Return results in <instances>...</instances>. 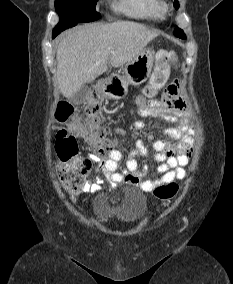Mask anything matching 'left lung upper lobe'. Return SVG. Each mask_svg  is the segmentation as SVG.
Returning a JSON list of instances; mask_svg holds the SVG:
<instances>
[{"mask_svg": "<svg viewBox=\"0 0 233 284\" xmlns=\"http://www.w3.org/2000/svg\"><path fill=\"white\" fill-rule=\"evenodd\" d=\"M174 7H175L176 9L179 8V3H178L177 0H175V2H174ZM174 35L177 36V37H179V38H182V39H185V38H186V37H185V34H184V32H183V30L180 29L179 27H176V29H175V31H174Z\"/></svg>", "mask_w": 233, "mask_h": 284, "instance_id": "left-lung-upper-lobe-1", "label": "left lung upper lobe"}]
</instances>
